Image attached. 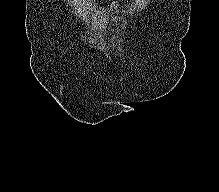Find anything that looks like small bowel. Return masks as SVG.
Wrapping results in <instances>:
<instances>
[{"label": "small bowel", "instance_id": "obj_1", "mask_svg": "<svg viewBox=\"0 0 219 192\" xmlns=\"http://www.w3.org/2000/svg\"><path fill=\"white\" fill-rule=\"evenodd\" d=\"M112 6H113L114 8H119V7H120V3H119L118 1H114V2L112 3Z\"/></svg>", "mask_w": 219, "mask_h": 192}]
</instances>
